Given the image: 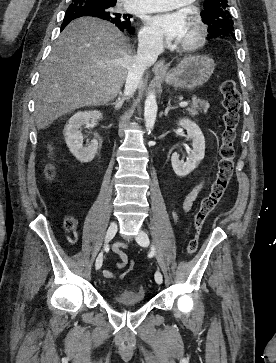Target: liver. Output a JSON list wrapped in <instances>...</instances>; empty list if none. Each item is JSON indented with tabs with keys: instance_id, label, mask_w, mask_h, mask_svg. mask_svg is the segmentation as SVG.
<instances>
[{
	"instance_id": "6515ba94",
	"label": "liver",
	"mask_w": 276,
	"mask_h": 363,
	"mask_svg": "<svg viewBox=\"0 0 276 363\" xmlns=\"http://www.w3.org/2000/svg\"><path fill=\"white\" fill-rule=\"evenodd\" d=\"M134 49L112 23L93 17L71 22L40 70L35 94L38 129L76 109L107 104L120 92Z\"/></svg>"
}]
</instances>
